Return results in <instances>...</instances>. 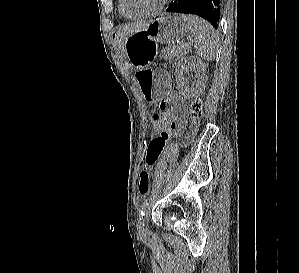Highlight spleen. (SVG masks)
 Instances as JSON below:
<instances>
[{"label": "spleen", "mask_w": 299, "mask_h": 273, "mask_svg": "<svg viewBox=\"0 0 299 273\" xmlns=\"http://www.w3.org/2000/svg\"><path fill=\"white\" fill-rule=\"evenodd\" d=\"M188 31L191 33L190 43L197 55L206 61L215 58L217 50L218 34L213 26L207 21L195 15H186Z\"/></svg>", "instance_id": "3e777b00"}]
</instances>
